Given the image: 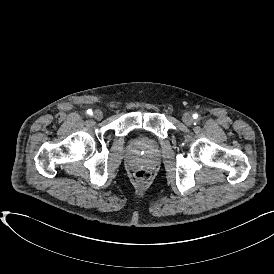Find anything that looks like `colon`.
Listing matches in <instances>:
<instances>
[{"label":"colon","mask_w":274,"mask_h":274,"mask_svg":"<svg viewBox=\"0 0 274 274\" xmlns=\"http://www.w3.org/2000/svg\"><path fill=\"white\" fill-rule=\"evenodd\" d=\"M135 179L139 183H143V184L148 183L149 180L151 179V173L149 170H144V169L138 170L135 173Z\"/></svg>","instance_id":"1"}]
</instances>
